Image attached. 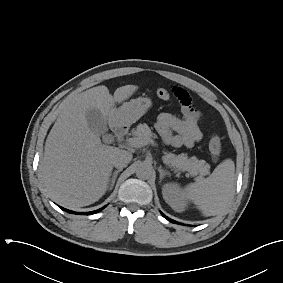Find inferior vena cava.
<instances>
[{
  "instance_id": "602c4592",
  "label": "inferior vena cava",
  "mask_w": 283,
  "mask_h": 283,
  "mask_svg": "<svg viewBox=\"0 0 283 283\" xmlns=\"http://www.w3.org/2000/svg\"><path fill=\"white\" fill-rule=\"evenodd\" d=\"M132 160V154L126 150H119L113 157V166L122 169Z\"/></svg>"
}]
</instances>
